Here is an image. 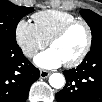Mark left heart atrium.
I'll return each mask as SVG.
<instances>
[{
  "mask_svg": "<svg viewBox=\"0 0 102 102\" xmlns=\"http://www.w3.org/2000/svg\"><path fill=\"white\" fill-rule=\"evenodd\" d=\"M34 63L43 69H54L64 64L62 59L52 49L38 53L34 57Z\"/></svg>",
  "mask_w": 102,
  "mask_h": 102,
  "instance_id": "39dd6f15",
  "label": "left heart atrium"
}]
</instances>
